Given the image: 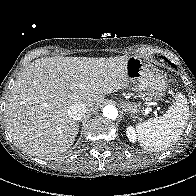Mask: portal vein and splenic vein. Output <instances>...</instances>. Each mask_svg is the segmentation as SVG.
I'll use <instances>...</instances> for the list:
<instances>
[{
  "label": "portal vein and splenic vein",
  "instance_id": "obj_1",
  "mask_svg": "<svg viewBox=\"0 0 196 196\" xmlns=\"http://www.w3.org/2000/svg\"><path fill=\"white\" fill-rule=\"evenodd\" d=\"M149 105H151V103H149ZM154 114L157 115V112L155 111Z\"/></svg>",
  "mask_w": 196,
  "mask_h": 196
}]
</instances>
